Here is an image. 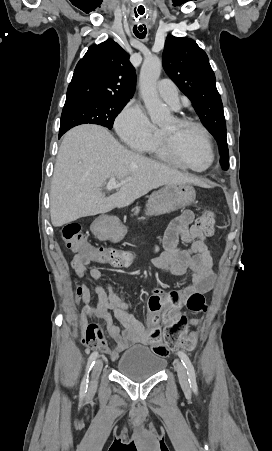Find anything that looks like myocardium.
I'll list each match as a JSON object with an SVG mask.
<instances>
[{
	"mask_svg": "<svg viewBox=\"0 0 272 451\" xmlns=\"http://www.w3.org/2000/svg\"><path fill=\"white\" fill-rule=\"evenodd\" d=\"M173 119H174V121L176 123H178L181 126H188V127H192L194 129H196L201 134V136H202V138H203V140H204V142H205V144H206V146H207V148L209 150L210 157H211L208 167L206 169H204V170L192 169L189 166H187L186 164H184L183 162L181 163L180 167L183 170H185L186 172H190V173H202V172H206V171L210 170L215 164L216 153H215L213 144H212V142H211V140L209 138V135H208L207 131L205 130V128L202 125H200L199 123H196V122H194L192 120H189L187 118L173 117ZM160 135H161V144H162V148H163L164 152H167L169 147H173L175 149V151H176V154H179V151H178L177 147L174 144H172V143H168L167 134H166L164 129L161 130Z\"/></svg>",
	"mask_w": 272,
	"mask_h": 451,
	"instance_id": "f54148a6",
	"label": "myocardium"
}]
</instances>
